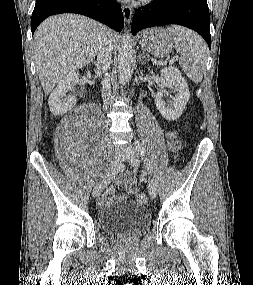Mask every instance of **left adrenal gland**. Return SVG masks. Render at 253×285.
<instances>
[{
  "instance_id": "a2214340",
  "label": "left adrenal gland",
  "mask_w": 253,
  "mask_h": 285,
  "mask_svg": "<svg viewBox=\"0 0 253 285\" xmlns=\"http://www.w3.org/2000/svg\"><path fill=\"white\" fill-rule=\"evenodd\" d=\"M145 58H146L145 52H143L141 55H139L138 61H139V62H142V59H145Z\"/></svg>"
}]
</instances>
